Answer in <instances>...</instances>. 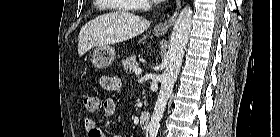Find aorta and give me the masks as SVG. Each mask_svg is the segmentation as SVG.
Returning a JSON list of instances; mask_svg holds the SVG:
<instances>
[{
  "label": "aorta",
  "instance_id": "aorta-1",
  "mask_svg": "<svg viewBox=\"0 0 280 137\" xmlns=\"http://www.w3.org/2000/svg\"><path fill=\"white\" fill-rule=\"evenodd\" d=\"M192 10L186 6L180 12L171 34L167 52V67L162 75L161 88L148 125L149 137H157L167 101L179 74L184 52L191 31Z\"/></svg>",
  "mask_w": 280,
  "mask_h": 137
}]
</instances>
